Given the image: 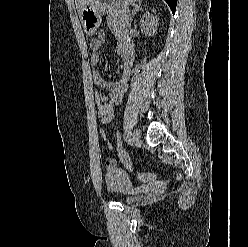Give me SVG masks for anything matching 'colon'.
I'll use <instances>...</instances> for the list:
<instances>
[{
  "label": "colon",
  "instance_id": "5ec220e1",
  "mask_svg": "<svg viewBox=\"0 0 248 247\" xmlns=\"http://www.w3.org/2000/svg\"><path fill=\"white\" fill-rule=\"evenodd\" d=\"M115 147H116V151H117L119 160L122 163V165L126 169H128L129 171L135 172V170L131 164L129 155H128L127 151L125 150L120 131L116 132V146ZM137 176L139 179L144 180V181L153 180L155 178V174H153V173L137 174Z\"/></svg>",
  "mask_w": 248,
  "mask_h": 247
}]
</instances>
